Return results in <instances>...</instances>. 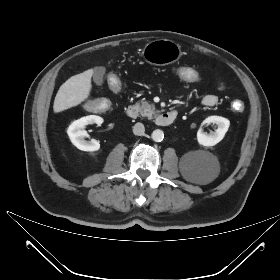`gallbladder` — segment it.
<instances>
[{
	"label": "gallbladder",
	"mask_w": 280,
	"mask_h": 280,
	"mask_svg": "<svg viewBox=\"0 0 280 280\" xmlns=\"http://www.w3.org/2000/svg\"><path fill=\"white\" fill-rule=\"evenodd\" d=\"M105 72H106L105 67H98L94 70L93 80H94L96 85H102L103 84V79H104Z\"/></svg>",
	"instance_id": "1"
}]
</instances>
